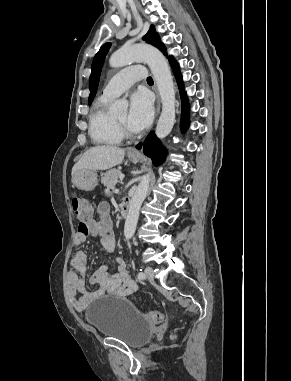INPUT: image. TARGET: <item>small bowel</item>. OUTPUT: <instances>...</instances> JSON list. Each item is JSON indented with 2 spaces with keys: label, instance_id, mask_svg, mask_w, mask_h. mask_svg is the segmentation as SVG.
<instances>
[{
  "label": "small bowel",
  "instance_id": "1",
  "mask_svg": "<svg viewBox=\"0 0 291 381\" xmlns=\"http://www.w3.org/2000/svg\"><path fill=\"white\" fill-rule=\"evenodd\" d=\"M98 221L92 220L86 230L81 229L79 224L74 239L77 247L89 237H98L103 248L113 253L116 248L109 206L100 203L97 207ZM72 267L66 276V283L70 300L77 311H84L98 297L106 293L112 296L124 297L133 294L137 290L136 282L131 278L126 264L121 258L116 259V273L110 274L106 265L100 266L91 277V283L98 286L94 292L86 290L85 280L78 273L84 274L88 270V258L86 253L76 250L72 257Z\"/></svg>",
  "mask_w": 291,
  "mask_h": 381
}]
</instances>
